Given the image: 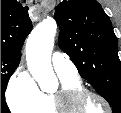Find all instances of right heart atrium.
<instances>
[{"label": "right heart atrium", "mask_w": 121, "mask_h": 113, "mask_svg": "<svg viewBox=\"0 0 121 113\" xmlns=\"http://www.w3.org/2000/svg\"><path fill=\"white\" fill-rule=\"evenodd\" d=\"M41 91L34 78L19 67L8 82L6 97L11 110L24 113L32 110L39 102Z\"/></svg>", "instance_id": "obj_1"}]
</instances>
